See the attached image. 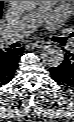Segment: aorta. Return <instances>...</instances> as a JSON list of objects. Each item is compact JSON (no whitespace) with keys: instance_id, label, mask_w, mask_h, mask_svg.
<instances>
[{"instance_id":"obj_1","label":"aorta","mask_w":74,"mask_h":122,"mask_svg":"<svg viewBox=\"0 0 74 122\" xmlns=\"http://www.w3.org/2000/svg\"><path fill=\"white\" fill-rule=\"evenodd\" d=\"M40 1H13V5L19 11H31L39 5ZM43 62L49 67H57L64 60L63 50L56 45H47L41 53Z\"/></svg>"}]
</instances>
